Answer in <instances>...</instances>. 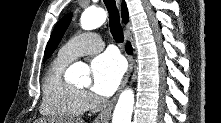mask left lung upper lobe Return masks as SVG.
<instances>
[{"instance_id":"left-lung-upper-lobe-1","label":"left lung upper lobe","mask_w":221,"mask_h":123,"mask_svg":"<svg viewBox=\"0 0 221 123\" xmlns=\"http://www.w3.org/2000/svg\"><path fill=\"white\" fill-rule=\"evenodd\" d=\"M71 18H72V14L68 13L55 26L45 49L44 61L48 59L57 48L65 31L67 30L71 22Z\"/></svg>"}]
</instances>
